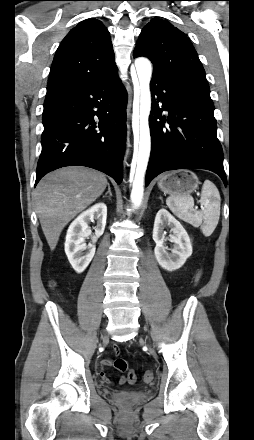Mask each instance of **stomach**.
Returning <instances> with one entry per match:
<instances>
[{
    "label": "stomach",
    "instance_id": "0dacf381",
    "mask_svg": "<svg viewBox=\"0 0 254 440\" xmlns=\"http://www.w3.org/2000/svg\"><path fill=\"white\" fill-rule=\"evenodd\" d=\"M198 185L197 175L186 169L166 173L158 181L161 191L171 196L189 195L197 189Z\"/></svg>",
    "mask_w": 254,
    "mask_h": 440
}]
</instances>
